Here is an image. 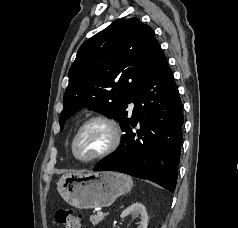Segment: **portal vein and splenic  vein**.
Returning a JSON list of instances; mask_svg holds the SVG:
<instances>
[{
  "instance_id": "obj_1",
  "label": "portal vein and splenic vein",
  "mask_w": 238,
  "mask_h": 228,
  "mask_svg": "<svg viewBox=\"0 0 238 228\" xmlns=\"http://www.w3.org/2000/svg\"><path fill=\"white\" fill-rule=\"evenodd\" d=\"M97 215L102 216V215H104V213L102 211H98Z\"/></svg>"
}]
</instances>
